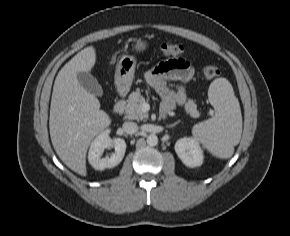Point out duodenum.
<instances>
[{"instance_id":"duodenum-1","label":"duodenum","mask_w":290,"mask_h":236,"mask_svg":"<svg viewBox=\"0 0 290 236\" xmlns=\"http://www.w3.org/2000/svg\"><path fill=\"white\" fill-rule=\"evenodd\" d=\"M125 96H126V91L122 90L119 93V98L112 107V113L115 115H119L124 111L125 107Z\"/></svg>"}]
</instances>
